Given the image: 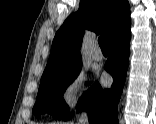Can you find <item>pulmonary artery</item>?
I'll return each instance as SVG.
<instances>
[{
  "mask_svg": "<svg viewBox=\"0 0 156 124\" xmlns=\"http://www.w3.org/2000/svg\"><path fill=\"white\" fill-rule=\"evenodd\" d=\"M92 57L96 61H100L103 59V54L99 48H94L92 51Z\"/></svg>",
  "mask_w": 156,
  "mask_h": 124,
  "instance_id": "obj_1",
  "label": "pulmonary artery"
}]
</instances>
